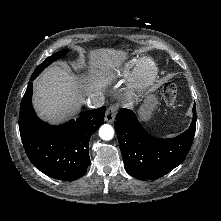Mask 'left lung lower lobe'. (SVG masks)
I'll return each mask as SVG.
<instances>
[{
	"instance_id": "obj_1",
	"label": "left lung lower lobe",
	"mask_w": 221,
	"mask_h": 221,
	"mask_svg": "<svg viewBox=\"0 0 221 221\" xmlns=\"http://www.w3.org/2000/svg\"><path fill=\"white\" fill-rule=\"evenodd\" d=\"M190 127L175 138L159 139L150 136L136 115L122 109L114 124L125 170L134 178L154 180L166 175L186 158L196 130V106Z\"/></svg>"
}]
</instances>
